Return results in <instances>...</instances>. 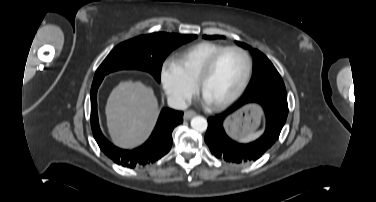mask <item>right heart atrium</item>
I'll list each match as a JSON object with an SVG mask.
<instances>
[{
    "label": "right heart atrium",
    "mask_w": 376,
    "mask_h": 202,
    "mask_svg": "<svg viewBox=\"0 0 376 202\" xmlns=\"http://www.w3.org/2000/svg\"><path fill=\"white\" fill-rule=\"evenodd\" d=\"M161 87L176 107H184L195 94V84L183 74L174 59H165L159 71Z\"/></svg>",
    "instance_id": "d8ad5b80"
}]
</instances>
